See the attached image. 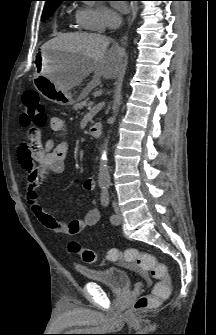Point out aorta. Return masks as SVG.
Instances as JSON below:
<instances>
[{"mask_svg":"<svg viewBox=\"0 0 216 335\" xmlns=\"http://www.w3.org/2000/svg\"><path fill=\"white\" fill-rule=\"evenodd\" d=\"M121 103H122V90L121 88H117L114 95L113 116L110 118L111 124H113L116 120V116L118 114ZM108 143H109V136L108 138L105 139L103 143V154L101 157L99 174H98V183L100 186H109L111 183L109 166L107 161V151L109 150Z\"/></svg>","mask_w":216,"mask_h":335,"instance_id":"aorta-1","label":"aorta"}]
</instances>
